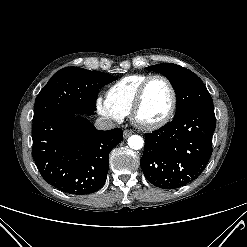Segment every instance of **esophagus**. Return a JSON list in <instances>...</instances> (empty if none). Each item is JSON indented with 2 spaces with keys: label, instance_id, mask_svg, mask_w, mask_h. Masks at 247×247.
Listing matches in <instances>:
<instances>
[{
  "label": "esophagus",
  "instance_id": "34e87169",
  "mask_svg": "<svg viewBox=\"0 0 247 247\" xmlns=\"http://www.w3.org/2000/svg\"><path fill=\"white\" fill-rule=\"evenodd\" d=\"M132 134H133V131L132 130H124V132H123L124 138H127L130 135H132Z\"/></svg>",
  "mask_w": 247,
  "mask_h": 247
}]
</instances>
